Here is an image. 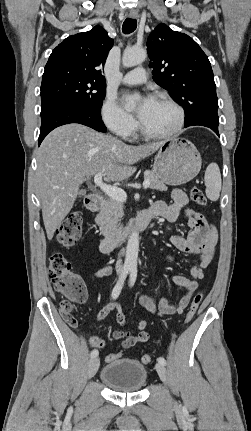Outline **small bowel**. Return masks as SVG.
Segmentation results:
<instances>
[{
  "label": "small bowel",
  "instance_id": "obj_1",
  "mask_svg": "<svg viewBox=\"0 0 251 431\" xmlns=\"http://www.w3.org/2000/svg\"><path fill=\"white\" fill-rule=\"evenodd\" d=\"M188 198L186 194L176 189L172 193V203L167 204L164 201H156L147 210L153 216H159L168 222H175L182 211L188 219L189 227L191 228L187 236H172L171 244L178 250L199 255L198 264L192 267L191 277L182 275H172L171 280L178 286L183 287L186 293L180 299L177 305H173L171 299L163 297L156 304L148 296H140L138 299L139 305L151 314L157 316H166L173 314H181L189 305L194 293L198 289V281L204 278V269L212 262L217 244V232L213 225L201 213L188 208ZM112 273V267L109 264H104L99 270L93 273L92 281H96L102 277ZM116 311V320L121 327L128 325L121 306L118 303L112 302L100 309L96 320L98 322L104 320L111 312ZM148 322L141 320L135 325L136 332L133 333L126 329L115 330L112 333L114 340H121L123 348H130L138 343H144L149 339V333L146 331ZM107 358V357H106Z\"/></svg>",
  "mask_w": 251,
  "mask_h": 431
}]
</instances>
